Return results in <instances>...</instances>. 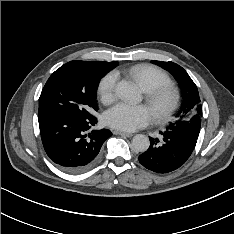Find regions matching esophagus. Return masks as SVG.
<instances>
[{
	"mask_svg": "<svg viewBox=\"0 0 234 234\" xmlns=\"http://www.w3.org/2000/svg\"><path fill=\"white\" fill-rule=\"evenodd\" d=\"M114 134L125 136V137H132L133 136L132 133H127V132H122V131H114Z\"/></svg>",
	"mask_w": 234,
	"mask_h": 234,
	"instance_id": "esophagus-1",
	"label": "esophagus"
}]
</instances>
